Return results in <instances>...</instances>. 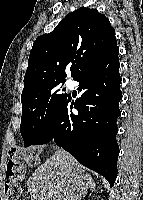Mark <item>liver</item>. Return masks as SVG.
Here are the masks:
<instances>
[{
    "label": "liver",
    "instance_id": "obj_1",
    "mask_svg": "<svg viewBox=\"0 0 143 200\" xmlns=\"http://www.w3.org/2000/svg\"><path fill=\"white\" fill-rule=\"evenodd\" d=\"M90 179L78 161L61 150L35 169L26 184L31 200H79Z\"/></svg>",
    "mask_w": 143,
    "mask_h": 200
}]
</instances>
